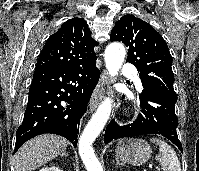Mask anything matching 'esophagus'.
<instances>
[{
	"mask_svg": "<svg viewBox=\"0 0 199 171\" xmlns=\"http://www.w3.org/2000/svg\"><path fill=\"white\" fill-rule=\"evenodd\" d=\"M107 83H108V75H107L106 71H104V72H102V74L100 76L98 84H97L96 88L94 89V92H93L90 102H89V108H90L91 112H93L97 108V106L102 98L103 90L106 87Z\"/></svg>",
	"mask_w": 199,
	"mask_h": 171,
	"instance_id": "1",
	"label": "esophagus"
}]
</instances>
